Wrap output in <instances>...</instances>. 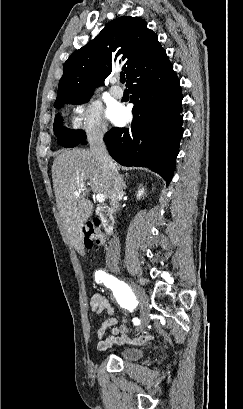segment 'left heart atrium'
Returning <instances> with one entry per match:
<instances>
[{"instance_id":"obj_1","label":"left heart atrium","mask_w":243,"mask_h":409,"mask_svg":"<svg viewBox=\"0 0 243 409\" xmlns=\"http://www.w3.org/2000/svg\"><path fill=\"white\" fill-rule=\"evenodd\" d=\"M108 116L110 120L117 125L124 124L128 119L127 111L120 106L112 107L108 112Z\"/></svg>"}]
</instances>
